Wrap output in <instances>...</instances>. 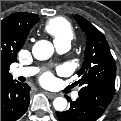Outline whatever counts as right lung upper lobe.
<instances>
[{
	"label": "right lung upper lobe",
	"mask_w": 121,
	"mask_h": 121,
	"mask_svg": "<svg viewBox=\"0 0 121 121\" xmlns=\"http://www.w3.org/2000/svg\"><path fill=\"white\" fill-rule=\"evenodd\" d=\"M38 20L36 14L17 12L1 21V81L12 78L9 67Z\"/></svg>",
	"instance_id": "right-lung-upper-lobe-1"
}]
</instances>
